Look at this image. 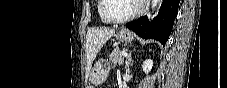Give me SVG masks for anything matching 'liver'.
<instances>
[{"mask_svg": "<svg viewBox=\"0 0 227 88\" xmlns=\"http://www.w3.org/2000/svg\"><path fill=\"white\" fill-rule=\"evenodd\" d=\"M114 33L115 30L109 28H92L88 30L86 35V61L88 68H91L97 53Z\"/></svg>", "mask_w": 227, "mask_h": 88, "instance_id": "6515ba94", "label": "liver"}]
</instances>
